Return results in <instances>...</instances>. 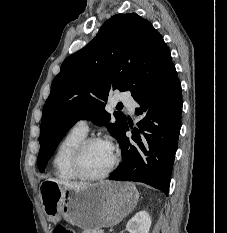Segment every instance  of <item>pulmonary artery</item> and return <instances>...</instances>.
<instances>
[{
  "label": "pulmonary artery",
  "instance_id": "pulmonary-artery-1",
  "mask_svg": "<svg viewBox=\"0 0 227 233\" xmlns=\"http://www.w3.org/2000/svg\"><path fill=\"white\" fill-rule=\"evenodd\" d=\"M120 101L128 108L129 111H134L136 103L131 97L124 95L120 98ZM74 128L86 134L89 131L87 120H79L75 124Z\"/></svg>",
  "mask_w": 227,
  "mask_h": 233
}]
</instances>
